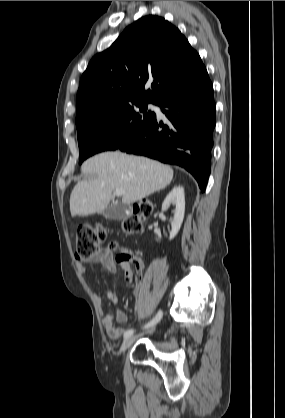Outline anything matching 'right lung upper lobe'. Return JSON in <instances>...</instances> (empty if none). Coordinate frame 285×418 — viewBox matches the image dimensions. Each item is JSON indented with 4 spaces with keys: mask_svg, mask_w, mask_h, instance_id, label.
I'll list each match as a JSON object with an SVG mask.
<instances>
[{
    "mask_svg": "<svg viewBox=\"0 0 285 418\" xmlns=\"http://www.w3.org/2000/svg\"><path fill=\"white\" fill-rule=\"evenodd\" d=\"M205 70L178 28L156 15L142 17L90 61L77 93L76 124L117 105L157 104Z\"/></svg>",
    "mask_w": 285,
    "mask_h": 418,
    "instance_id": "cb5924a9",
    "label": "right lung upper lobe"
}]
</instances>
